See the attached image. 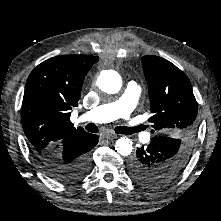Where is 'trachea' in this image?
<instances>
[{
	"label": "trachea",
	"instance_id": "1",
	"mask_svg": "<svg viewBox=\"0 0 221 221\" xmlns=\"http://www.w3.org/2000/svg\"><path fill=\"white\" fill-rule=\"evenodd\" d=\"M86 130L92 133H97L98 132V127L93 124L89 123L86 125ZM141 130V126L137 127H124V126H119L115 128V132L118 134H126V135H131L132 133L138 132Z\"/></svg>",
	"mask_w": 221,
	"mask_h": 221
}]
</instances>
